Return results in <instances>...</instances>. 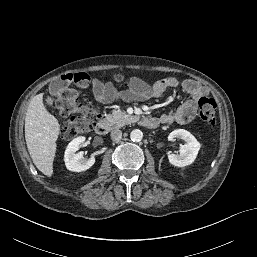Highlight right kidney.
<instances>
[{
    "instance_id": "obj_1",
    "label": "right kidney",
    "mask_w": 257,
    "mask_h": 257,
    "mask_svg": "<svg viewBox=\"0 0 257 257\" xmlns=\"http://www.w3.org/2000/svg\"><path fill=\"white\" fill-rule=\"evenodd\" d=\"M86 140L84 136L74 138L67 146L64 154L66 168L73 172L86 171L95 163V158H83V152H77L81 144ZM77 152V153H76Z\"/></svg>"
}]
</instances>
